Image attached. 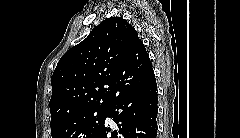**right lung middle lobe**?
<instances>
[{
  "label": "right lung middle lobe",
  "mask_w": 240,
  "mask_h": 138,
  "mask_svg": "<svg viewBox=\"0 0 240 138\" xmlns=\"http://www.w3.org/2000/svg\"><path fill=\"white\" fill-rule=\"evenodd\" d=\"M108 107L86 109L50 124L52 138H93L104 125Z\"/></svg>",
  "instance_id": "1"
}]
</instances>
